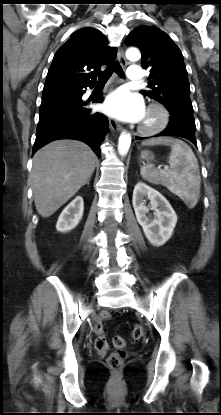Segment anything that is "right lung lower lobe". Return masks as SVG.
<instances>
[{
	"label": "right lung lower lobe",
	"mask_w": 221,
	"mask_h": 415,
	"mask_svg": "<svg viewBox=\"0 0 221 415\" xmlns=\"http://www.w3.org/2000/svg\"><path fill=\"white\" fill-rule=\"evenodd\" d=\"M94 83L68 89L43 91L40 117L32 155L47 143L57 139H76L87 143L100 157V145L108 129V119L94 113L82 100L84 88ZM98 94L92 102L101 103Z\"/></svg>",
	"instance_id": "right-lung-lower-lobe-1"
}]
</instances>
